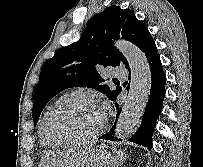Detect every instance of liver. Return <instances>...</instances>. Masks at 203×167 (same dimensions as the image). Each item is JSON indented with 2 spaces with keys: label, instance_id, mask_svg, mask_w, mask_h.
Segmentation results:
<instances>
[{
  "label": "liver",
  "instance_id": "liver-1",
  "mask_svg": "<svg viewBox=\"0 0 203 167\" xmlns=\"http://www.w3.org/2000/svg\"><path fill=\"white\" fill-rule=\"evenodd\" d=\"M91 150L68 149L42 158L39 167H80Z\"/></svg>",
  "mask_w": 203,
  "mask_h": 167
}]
</instances>
